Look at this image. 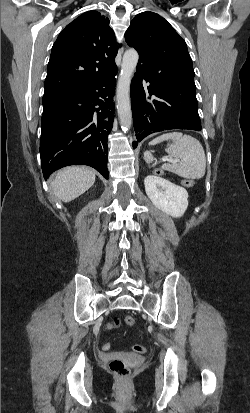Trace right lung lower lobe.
Listing matches in <instances>:
<instances>
[{"label":"right lung lower lobe","instance_id":"98d812e1","mask_svg":"<svg viewBox=\"0 0 250 413\" xmlns=\"http://www.w3.org/2000/svg\"><path fill=\"white\" fill-rule=\"evenodd\" d=\"M116 72L84 88L43 96L40 154L45 179L68 165L91 166L108 179Z\"/></svg>","mask_w":250,"mask_h":413}]
</instances>
